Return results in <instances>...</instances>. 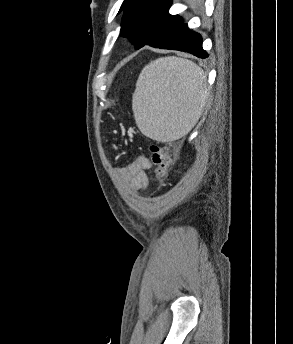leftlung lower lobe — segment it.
Instances as JSON below:
<instances>
[{"label": "left lung lower lobe", "instance_id": "1", "mask_svg": "<svg viewBox=\"0 0 293 344\" xmlns=\"http://www.w3.org/2000/svg\"><path fill=\"white\" fill-rule=\"evenodd\" d=\"M153 47L188 52L199 58L208 57V54L202 48L201 35L191 31L184 22L168 41L153 45Z\"/></svg>", "mask_w": 293, "mask_h": 344}]
</instances>
